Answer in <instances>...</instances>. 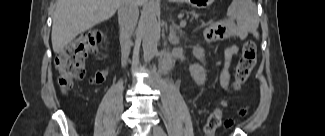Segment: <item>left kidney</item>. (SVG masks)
I'll return each instance as SVG.
<instances>
[{
  "instance_id": "left-kidney-1",
  "label": "left kidney",
  "mask_w": 325,
  "mask_h": 136,
  "mask_svg": "<svg viewBox=\"0 0 325 136\" xmlns=\"http://www.w3.org/2000/svg\"><path fill=\"white\" fill-rule=\"evenodd\" d=\"M193 55L199 61L204 63L205 52H204L203 48H201L199 46H195L193 48ZM189 72H190V75L193 78L194 82L197 85H204V83L206 81V70L204 69V67L202 65H200L198 63L190 65Z\"/></svg>"
}]
</instances>
